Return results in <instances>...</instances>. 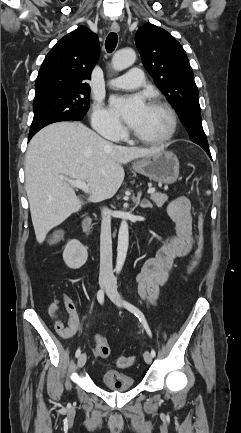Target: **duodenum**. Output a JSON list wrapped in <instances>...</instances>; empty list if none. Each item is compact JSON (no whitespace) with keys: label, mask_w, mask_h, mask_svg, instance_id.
Returning <instances> with one entry per match:
<instances>
[{"label":"duodenum","mask_w":241,"mask_h":433,"mask_svg":"<svg viewBox=\"0 0 241 433\" xmlns=\"http://www.w3.org/2000/svg\"><path fill=\"white\" fill-rule=\"evenodd\" d=\"M82 230L86 235H90V217L88 215H85L82 218Z\"/></svg>","instance_id":"duodenum-1"}]
</instances>
